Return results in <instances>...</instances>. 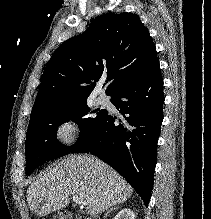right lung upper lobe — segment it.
I'll return each instance as SVG.
<instances>
[{
	"label": "right lung upper lobe",
	"instance_id": "1",
	"mask_svg": "<svg viewBox=\"0 0 211 219\" xmlns=\"http://www.w3.org/2000/svg\"><path fill=\"white\" fill-rule=\"evenodd\" d=\"M156 53L148 29L136 14L109 13L96 18L85 32L55 50L43 72L31 118L87 99L104 77L105 93L111 96L145 72L157 60Z\"/></svg>",
	"mask_w": 211,
	"mask_h": 219
}]
</instances>
